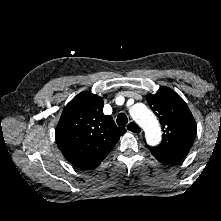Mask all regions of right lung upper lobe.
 <instances>
[{"label": "right lung upper lobe", "mask_w": 221, "mask_h": 221, "mask_svg": "<svg viewBox=\"0 0 221 221\" xmlns=\"http://www.w3.org/2000/svg\"><path fill=\"white\" fill-rule=\"evenodd\" d=\"M106 98V95H104ZM103 98L84 91L64 108L55 138L65 158L83 169L98 166L126 132L104 115Z\"/></svg>", "instance_id": "obj_1"}]
</instances>
